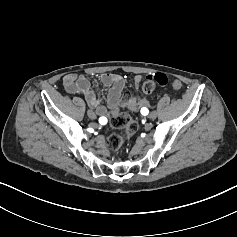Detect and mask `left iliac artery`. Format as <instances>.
Masks as SVG:
<instances>
[{"label": "left iliac artery", "instance_id": "left-iliac-artery-1", "mask_svg": "<svg viewBox=\"0 0 237 237\" xmlns=\"http://www.w3.org/2000/svg\"><path fill=\"white\" fill-rule=\"evenodd\" d=\"M148 112H149L148 109L145 108V107H143V108L141 109V114L144 115V116H145V115H148Z\"/></svg>", "mask_w": 237, "mask_h": 237}]
</instances>
